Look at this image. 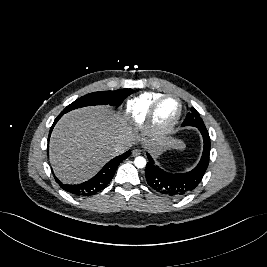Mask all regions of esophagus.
Returning a JSON list of instances; mask_svg holds the SVG:
<instances>
[{
  "instance_id": "34e87169",
  "label": "esophagus",
  "mask_w": 267,
  "mask_h": 267,
  "mask_svg": "<svg viewBox=\"0 0 267 267\" xmlns=\"http://www.w3.org/2000/svg\"><path fill=\"white\" fill-rule=\"evenodd\" d=\"M141 154V150L140 149H134L133 151H132V155L135 157V156H138V155H140Z\"/></svg>"
}]
</instances>
